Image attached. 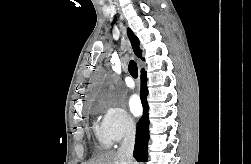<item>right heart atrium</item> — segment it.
<instances>
[{
  "label": "right heart atrium",
  "instance_id": "right-heart-atrium-1",
  "mask_svg": "<svg viewBox=\"0 0 251 164\" xmlns=\"http://www.w3.org/2000/svg\"><path fill=\"white\" fill-rule=\"evenodd\" d=\"M101 112V126L111 142H120L134 134L135 121L123 107L107 100L102 103Z\"/></svg>",
  "mask_w": 251,
  "mask_h": 164
}]
</instances>
